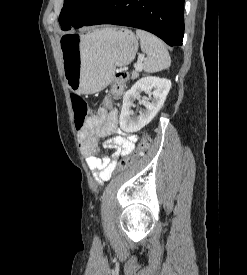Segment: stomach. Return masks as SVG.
Instances as JSON below:
<instances>
[{"label": "stomach", "instance_id": "0dacf381", "mask_svg": "<svg viewBox=\"0 0 247 275\" xmlns=\"http://www.w3.org/2000/svg\"><path fill=\"white\" fill-rule=\"evenodd\" d=\"M59 45L68 87L93 94L110 84L116 67L133 61L138 39L129 29L103 28L85 35H63Z\"/></svg>", "mask_w": 247, "mask_h": 275}]
</instances>
